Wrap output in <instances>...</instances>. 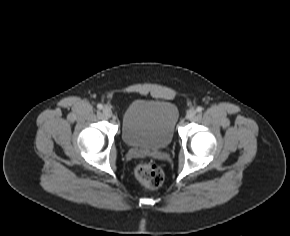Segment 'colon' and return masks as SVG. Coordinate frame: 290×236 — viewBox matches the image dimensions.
I'll return each instance as SVG.
<instances>
[{
    "label": "colon",
    "instance_id": "obj_1",
    "mask_svg": "<svg viewBox=\"0 0 290 236\" xmlns=\"http://www.w3.org/2000/svg\"><path fill=\"white\" fill-rule=\"evenodd\" d=\"M135 176L140 183L150 189L162 185L164 175L162 169L154 163H141L135 169Z\"/></svg>",
    "mask_w": 290,
    "mask_h": 236
}]
</instances>
